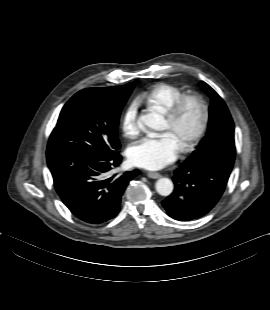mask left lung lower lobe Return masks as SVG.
I'll use <instances>...</instances> for the list:
<instances>
[{"label":"left lung lower lobe","mask_w":270,"mask_h":310,"mask_svg":"<svg viewBox=\"0 0 270 310\" xmlns=\"http://www.w3.org/2000/svg\"><path fill=\"white\" fill-rule=\"evenodd\" d=\"M230 173L205 164L183 163L174 171L173 193L162 202L167 214L179 221L203 217L219 201Z\"/></svg>","instance_id":"obj_1"}]
</instances>
